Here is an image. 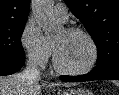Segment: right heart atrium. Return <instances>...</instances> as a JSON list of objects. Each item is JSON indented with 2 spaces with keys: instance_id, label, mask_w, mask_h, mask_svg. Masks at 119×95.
Segmentation results:
<instances>
[{
  "instance_id": "right-heart-atrium-1",
  "label": "right heart atrium",
  "mask_w": 119,
  "mask_h": 95,
  "mask_svg": "<svg viewBox=\"0 0 119 95\" xmlns=\"http://www.w3.org/2000/svg\"><path fill=\"white\" fill-rule=\"evenodd\" d=\"M21 43L30 63L43 67L52 55V48L44 38L40 28L33 22H28L21 35Z\"/></svg>"
}]
</instances>
